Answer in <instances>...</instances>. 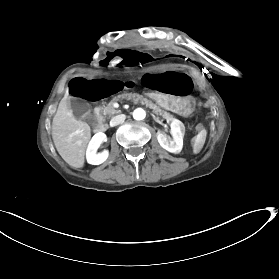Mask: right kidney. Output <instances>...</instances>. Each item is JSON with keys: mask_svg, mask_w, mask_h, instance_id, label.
<instances>
[{"mask_svg": "<svg viewBox=\"0 0 279 279\" xmlns=\"http://www.w3.org/2000/svg\"><path fill=\"white\" fill-rule=\"evenodd\" d=\"M104 139H105V134L99 132L96 133L91 139V141L89 142L86 151V160L89 164L100 165L107 160L109 156L108 151L104 150L101 153L97 152L100 144L104 141Z\"/></svg>", "mask_w": 279, "mask_h": 279, "instance_id": "right-kidney-1", "label": "right kidney"}]
</instances>
